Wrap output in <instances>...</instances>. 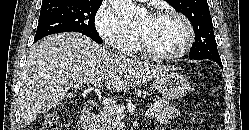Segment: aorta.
<instances>
[{
    "mask_svg": "<svg viewBox=\"0 0 249 130\" xmlns=\"http://www.w3.org/2000/svg\"><path fill=\"white\" fill-rule=\"evenodd\" d=\"M110 3L115 13L127 23L136 22L144 13L132 0H110Z\"/></svg>",
    "mask_w": 249,
    "mask_h": 130,
    "instance_id": "762f6f07",
    "label": "aorta"
}]
</instances>
